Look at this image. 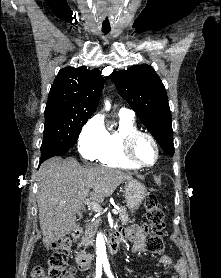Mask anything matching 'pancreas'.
<instances>
[{
	"label": "pancreas",
	"instance_id": "1",
	"mask_svg": "<svg viewBox=\"0 0 221 278\" xmlns=\"http://www.w3.org/2000/svg\"><path fill=\"white\" fill-rule=\"evenodd\" d=\"M119 219L122 222V224L126 225L129 222L135 221V219H132L129 217V214L125 207H120L119 209ZM101 222H93L92 224H89L86 231L84 232V236L82 238V241L78 244V247L85 246L92 244L93 237L95 234L96 227H101Z\"/></svg>",
	"mask_w": 221,
	"mask_h": 278
}]
</instances>
